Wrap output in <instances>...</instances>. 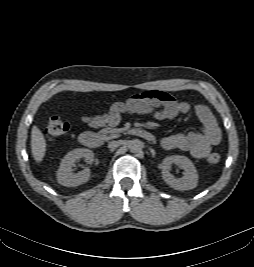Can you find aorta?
Wrapping results in <instances>:
<instances>
[{"mask_svg": "<svg viewBox=\"0 0 254 267\" xmlns=\"http://www.w3.org/2000/svg\"><path fill=\"white\" fill-rule=\"evenodd\" d=\"M143 143L139 139H133L129 142L128 148L132 153H138L142 150Z\"/></svg>", "mask_w": 254, "mask_h": 267, "instance_id": "aorta-1", "label": "aorta"}]
</instances>
